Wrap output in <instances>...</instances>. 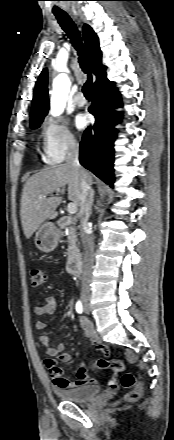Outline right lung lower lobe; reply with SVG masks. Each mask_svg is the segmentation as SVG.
<instances>
[{"label":"right lung lower lobe","mask_w":174,"mask_h":440,"mask_svg":"<svg viewBox=\"0 0 174 440\" xmlns=\"http://www.w3.org/2000/svg\"><path fill=\"white\" fill-rule=\"evenodd\" d=\"M115 83L106 78L94 86V101L89 112L95 116V123L89 126L80 143L79 160L82 166L92 171L111 187L114 183V140L122 119V112L115 111L122 105Z\"/></svg>","instance_id":"obj_1"}]
</instances>
